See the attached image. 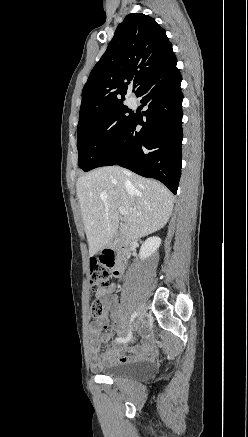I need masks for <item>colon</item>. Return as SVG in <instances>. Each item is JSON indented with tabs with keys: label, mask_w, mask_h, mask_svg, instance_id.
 Returning <instances> with one entry per match:
<instances>
[{
	"label": "colon",
	"mask_w": 248,
	"mask_h": 437,
	"mask_svg": "<svg viewBox=\"0 0 248 437\" xmlns=\"http://www.w3.org/2000/svg\"><path fill=\"white\" fill-rule=\"evenodd\" d=\"M112 267L113 263L108 257L93 258L90 261V285L93 291L98 292L107 285ZM91 314L96 322L104 318V306L98 297L91 303Z\"/></svg>",
	"instance_id": "colon-1"
}]
</instances>
